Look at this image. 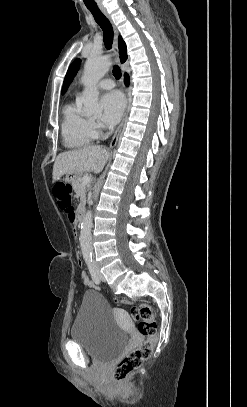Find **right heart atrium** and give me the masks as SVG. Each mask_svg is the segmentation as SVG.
<instances>
[{
    "label": "right heart atrium",
    "mask_w": 247,
    "mask_h": 407,
    "mask_svg": "<svg viewBox=\"0 0 247 407\" xmlns=\"http://www.w3.org/2000/svg\"><path fill=\"white\" fill-rule=\"evenodd\" d=\"M91 126L95 135H98L102 129V125L99 122L91 121Z\"/></svg>",
    "instance_id": "1"
}]
</instances>
